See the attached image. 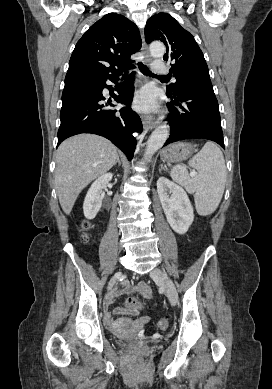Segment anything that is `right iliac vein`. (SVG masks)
Masks as SVG:
<instances>
[{
    "label": "right iliac vein",
    "mask_w": 272,
    "mask_h": 389,
    "mask_svg": "<svg viewBox=\"0 0 272 389\" xmlns=\"http://www.w3.org/2000/svg\"><path fill=\"white\" fill-rule=\"evenodd\" d=\"M121 276V272H117L111 279V281L109 282V285H108V290L112 289V287L114 286L115 284V281Z\"/></svg>",
    "instance_id": "obj_1"
}]
</instances>
